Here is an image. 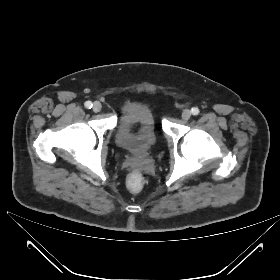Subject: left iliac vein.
I'll return each instance as SVG.
<instances>
[{
    "instance_id": "1",
    "label": "left iliac vein",
    "mask_w": 280,
    "mask_h": 280,
    "mask_svg": "<svg viewBox=\"0 0 280 280\" xmlns=\"http://www.w3.org/2000/svg\"><path fill=\"white\" fill-rule=\"evenodd\" d=\"M182 119L183 120H189L190 117H191V112L190 110L186 109L182 112V115H181Z\"/></svg>"
}]
</instances>
